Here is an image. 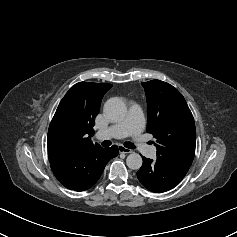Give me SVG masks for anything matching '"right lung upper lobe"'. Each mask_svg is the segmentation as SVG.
<instances>
[{"label": "right lung upper lobe", "mask_w": 237, "mask_h": 237, "mask_svg": "<svg viewBox=\"0 0 237 237\" xmlns=\"http://www.w3.org/2000/svg\"><path fill=\"white\" fill-rule=\"evenodd\" d=\"M112 87L106 83L79 82L60 101L50 123L47 145L82 152L99 147L90 136L104 94ZM55 138L57 144H51Z\"/></svg>", "instance_id": "cb5924a9"}]
</instances>
